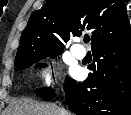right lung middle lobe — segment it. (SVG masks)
<instances>
[{
  "label": "right lung middle lobe",
  "instance_id": "dd1d6c3e",
  "mask_svg": "<svg viewBox=\"0 0 131 115\" xmlns=\"http://www.w3.org/2000/svg\"><path fill=\"white\" fill-rule=\"evenodd\" d=\"M61 52H30L15 60V70H23L30 67L38 60L45 58L47 56L54 57V55H59ZM67 81V80H66ZM65 81V82H66ZM36 95L43 99H52L55 95L54 89L44 87L43 89H38L35 91Z\"/></svg>",
  "mask_w": 131,
  "mask_h": 115
}]
</instances>
